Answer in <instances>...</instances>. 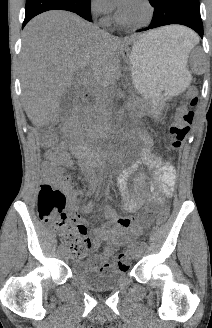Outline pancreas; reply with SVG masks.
Listing matches in <instances>:
<instances>
[{"instance_id": "obj_1", "label": "pancreas", "mask_w": 212, "mask_h": 328, "mask_svg": "<svg viewBox=\"0 0 212 328\" xmlns=\"http://www.w3.org/2000/svg\"><path fill=\"white\" fill-rule=\"evenodd\" d=\"M110 105L111 101L107 99L104 102V109H107ZM127 106L132 110H140L145 107V104L139 97L133 96L129 99ZM81 128L88 137L95 135L99 131V118L88 115L86 109L81 115Z\"/></svg>"}]
</instances>
